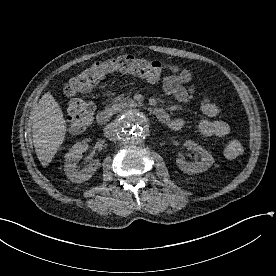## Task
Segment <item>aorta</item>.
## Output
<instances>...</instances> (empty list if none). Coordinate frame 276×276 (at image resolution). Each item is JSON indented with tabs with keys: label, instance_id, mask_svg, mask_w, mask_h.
<instances>
[{
	"label": "aorta",
	"instance_id": "aorta-1",
	"mask_svg": "<svg viewBox=\"0 0 276 276\" xmlns=\"http://www.w3.org/2000/svg\"><path fill=\"white\" fill-rule=\"evenodd\" d=\"M147 128L144 114L138 110H130L121 116L117 125V136L123 144H137L145 138Z\"/></svg>",
	"mask_w": 276,
	"mask_h": 276
}]
</instances>
